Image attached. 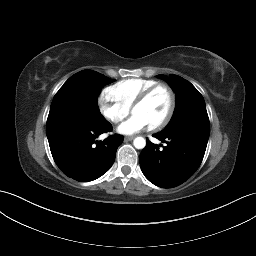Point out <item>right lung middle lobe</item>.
Returning a JSON list of instances; mask_svg holds the SVG:
<instances>
[{"label":"right lung middle lobe","mask_w":256,"mask_h":256,"mask_svg":"<svg viewBox=\"0 0 256 256\" xmlns=\"http://www.w3.org/2000/svg\"><path fill=\"white\" fill-rule=\"evenodd\" d=\"M114 80L92 70H83L71 76L53 98L47 121L71 119L103 123L97 98L103 86Z\"/></svg>","instance_id":"dd1d6c3e"}]
</instances>
